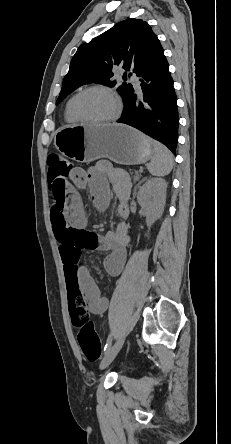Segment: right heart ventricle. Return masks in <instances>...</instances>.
I'll use <instances>...</instances> for the list:
<instances>
[{
	"mask_svg": "<svg viewBox=\"0 0 231 444\" xmlns=\"http://www.w3.org/2000/svg\"><path fill=\"white\" fill-rule=\"evenodd\" d=\"M74 97H75V95H73L72 97H70L69 98V100L67 101V103H66V106H65V110H64V117H65V120L68 122V123H71V124H74V123H78L79 121L76 119V117L73 115V113H72V102H73V99H74Z\"/></svg>",
	"mask_w": 231,
	"mask_h": 444,
	"instance_id": "1",
	"label": "right heart ventricle"
}]
</instances>
